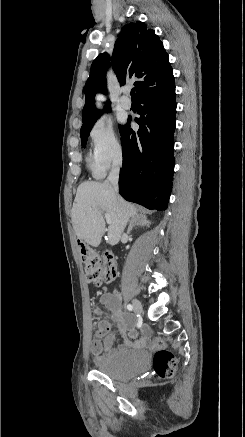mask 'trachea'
<instances>
[{
	"instance_id": "obj_1",
	"label": "trachea",
	"mask_w": 245,
	"mask_h": 437,
	"mask_svg": "<svg viewBox=\"0 0 245 437\" xmlns=\"http://www.w3.org/2000/svg\"><path fill=\"white\" fill-rule=\"evenodd\" d=\"M134 95H135V88H132L131 89V97L134 98Z\"/></svg>"
}]
</instances>
